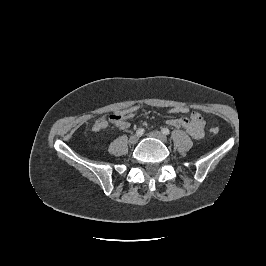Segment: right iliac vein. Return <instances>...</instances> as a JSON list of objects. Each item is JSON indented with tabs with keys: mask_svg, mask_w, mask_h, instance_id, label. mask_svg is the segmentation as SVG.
I'll list each match as a JSON object with an SVG mask.
<instances>
[{
	"mask_svg": "<svg viewBox=\"0 0 266 266\" xmlns=\"http://www.w3.org/2000/svg\"><path fill=\"white\" fill-rule=\"evenodd\" d=\"M138 140H139V135L134 134V135L130 136L129 143L130 144H135V143L138 142Z\"/></svg>",
	"mask_w": 266,
	"mask_h": 266,
	"instance_id": "1",
	"label": "right iliac vein"
}]
</instances>
